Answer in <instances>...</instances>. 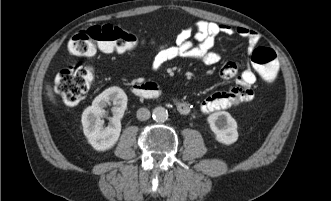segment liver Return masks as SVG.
<instances>
[{
    "label": "liver",
    "instance_id": "liver-1",
    "mask_svg": "<svg viewBox=\"0 0 331 201\" xmlns=\"http://www.w3.org/2000/svg\"><path fill=\"white\" fill-rule=\"evenodd\" d=\"M46 90H47V96L49 98V100L53 103L56 104V99L55 96L53 94L52 88L49 84L46 85Z\"/></svg>",
    "mask_w": 331,
    "mask_h": 201
}]
</instances>
